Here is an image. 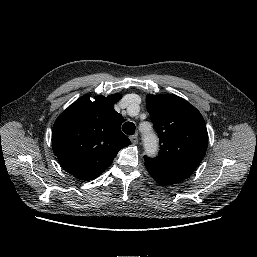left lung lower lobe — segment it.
I'll list each match as a JSON object with an SVG mask.
<instances>
[{
    "mask_svg": "<svg viewBox=\"0 0 257 257\" xmlns=\"http://www.w3.org/2000/svg\"><path fill=\"white\" fill-rule=\"evenodd\" d=\"M146 168L151 176L154 178V180L161 185H171L185 180V178L179 175L163 173L150 166H146Z\"/></svg>",
    "mask_w": 257,
    "mask_h": 257,
    "instance_id": "obj_1",
    "label": "left lung lower lobe"
}]
</instances>
